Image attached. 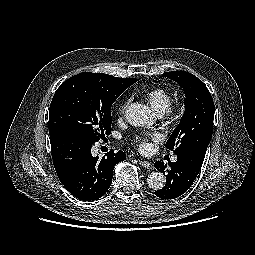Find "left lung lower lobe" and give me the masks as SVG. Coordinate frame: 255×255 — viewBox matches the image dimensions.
<instances>
[{
	"mask_svg": "<svg viewBox=\"0 0 255 255\" xmlns=\"http://www.w3.org/2000/svg\"><path fill=\"white\" fill-rule=\"evenodd\" d=\"M176 162H169L170 168L161 161L155 162L158 171L166 175L165 187L154 194L161 199H174L184 194L196 179L204 157L194 153L177 155Z\"/></svg>",
	"mask_w": 255,
	"mask_h": 255,
	"instance_id": "obj_1",
	"label": "left lung lower lobe"
}]
</instances>
